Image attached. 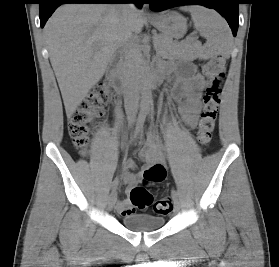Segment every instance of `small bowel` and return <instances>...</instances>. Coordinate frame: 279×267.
<instances>
[{"label": "small bowel", "instance_id": "1", "mask_svg": "<svg viewBox=\"0 0 279 267\" xmlns=\"http://www.w3.org/2000/svg\"><path fill=\"white\" fill-rule=\"evenodd\" d=\"M166 70L176 74V83L173 93L180 104L182 119L187 126L194 127L197 123L201 108L199 92L204 89L206 82L198 74L196 67L191 63H186L179 69L174 66H169ZM155 72L162 75L164 69L158 67ZM141 156L147 162L149 167L155 166L161 168L166 176L164 157L158 145V137L154 129H152L149 138L141 151ZM135 168V164L132 161L126 162L123 172V180L127 185V193H130L139 180V174L133 172ZM135 208L136 207L128 198L119 200L116 204V210L121 215L132 214L134 213Z\"/></svg>", "mask_w": 279, "mask_h": 267}]
</instances>
